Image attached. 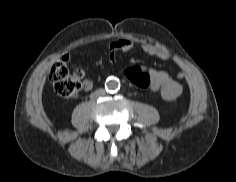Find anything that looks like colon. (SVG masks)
Listing matches in <instances>:
<instances>
[{
	"mask_svg": "<svg viewBox=\"0 0 236 182\" xmlns=\"http://www.w3.org/2000/svg\"><path fill=\"white\" fill-rule=\"evenodd\" d=\"M127 80L135 87L146 89L151 86V76L148 71L140 67H130L125 71ZM54 90L62 97H74L82 87L81 70L70 72L63 61L52 64L48 75Z\"/></svg>",
	"mask_w": 236,
	"mask_h": 182,
	"instance_id": "obj_1",
	"label": "colon"
}]
</instances>
